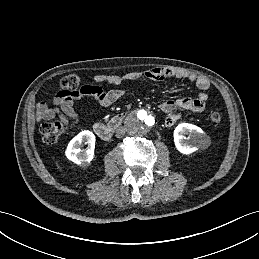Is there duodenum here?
I'll return each instance as SVG.
<instances>
[{
    "mask_svg": "<svg viewBox=\"0 0 259 259\" xmlns=\"http://www.w3.org/2000/svg\"><path fill=\"white\" fill-rule=\"evenodd\" d=\"M125 117L126 114H121L113 117L111 121L107 124L96 123L94 125V131L96 135L102 140H109L112 137L114 131L121 126Z\"/></svg>",
    "mask_w": 259,
    "mask_h": 259,
    "instance_id": "duodenum-1",
    "label": "duodenum"
}]
</instances>
